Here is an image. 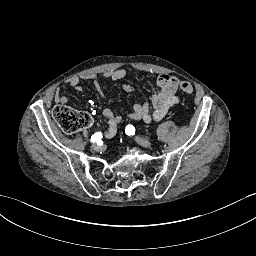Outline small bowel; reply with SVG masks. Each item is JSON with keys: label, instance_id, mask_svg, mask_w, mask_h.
Listing matches in <instances>:
<instances>
[{"label": "small bowel", "instance_id": "1", "mask_svg": "<svg viewBox=\"0 0 256 256\" xmlns=\"http://www.w3.org/2000/svg\"><path fill=\"white\" fill-rule=\"evenodd\" d=\"M103 77L114 81L123 80L126 77V71L124 69L109 70L103 73ZM82 79L92 81L95 90L100 96L104 97V91L95 74L74 77L68 83L73 89L81 92L83 91V87L80 85ZM157 85L158 89L152 95L151 104L148 102L135 104L133 111L127 115L129 119L142 120L146 123L158 122L165 117L171 107L179 103V97L176 95L179 81L175 76L163 73L159 75ZM122 89L125 92H131L134 90V87L130 84H124ZM68 101L69 98L66 95L56 91L54 102L57 105H65ZM102 115L108 124L107 129L103 131L102 135L104 138H112L117 132L121 117L109 108L104 109Z\"/></svg>", "mask_w": 256, "mask_h": 256}]
</instances>
